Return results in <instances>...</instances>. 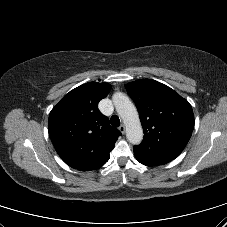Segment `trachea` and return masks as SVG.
Returning <instances> with one entry per match:
<instances>
[{
    "mask_svg": "<svg viewBox=\"0 0 227 227\" xmlns=\"http://www.w3.org/2000/svg\"><path fill=\"white\" fill-rule=\"evenodd\" d=\"M110 123L112 126L114 127H118L120 125V119L117 115H113L111 118H110Z\"/></svg>",
    "mask_w": 227,
    "mask_h": 227,
    "instance_id": "3493384b",
    "label": "trachea"
}]
</instances>
